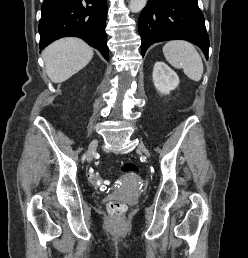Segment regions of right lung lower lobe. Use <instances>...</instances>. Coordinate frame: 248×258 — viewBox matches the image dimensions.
I'll return each instance as SVG.
<instances>
[{
    "label": "right lung lower lobe",
    "instance_id": "1",
    "mask_svg": "<svg viewBox=\"0 0 248 258\" xmlns=\"http://www.w3.org/2000/svg\"><path fill=\"white\" fill-rule=\"evenodd\" d=\"M41 11L40 48L59 38L76 36L98 49L108 60L107 0H44Z\"/></svg>",
    "mask_w": 248,
    "mask_h": 258
}]
</instances>
